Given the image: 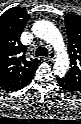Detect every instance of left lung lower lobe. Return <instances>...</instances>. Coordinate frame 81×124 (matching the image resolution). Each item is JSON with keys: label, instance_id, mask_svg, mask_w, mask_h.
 I'll return each mask as SVG.
<instances>
[{"label": "left lung lower lobe", "instance_id": "obj_1", "mask_svg": "<svg viewBox=\"0 0 81 124\" xmlns=\"http://www.w3.org/2000/svg\"><path fill=\"white\" fill-rule=\"evenodd\" d=\"M57 83L60 87H62L64 90H67L69 92H78L81 91V87L77 86L73 82L69 81L68 79L62 77H57Z\"/></svg>", "mask_w": 81, "mask_h": 124}]
</instances>
